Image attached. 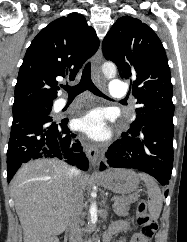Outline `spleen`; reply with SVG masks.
<instances>
[{
    "instance_id": "3e777b00",
    "label": "spleen",
    "mask_w": 187,
    "mask_h": 242,
    "mask_svg": "<svg viewBox=\"0 0 187 242\" xmlns=\"http://www.w3.org/2000/svg\"><path fill=\"white\" fill-rule=\"evenodd\" d=\"M138 176L144 181L147 187V193L150 198V201L148 202L150 215L154 220H157L160 216L163 205L161 189L152 177L144 173H139Z\"/></svg>"
}]
</instances>
